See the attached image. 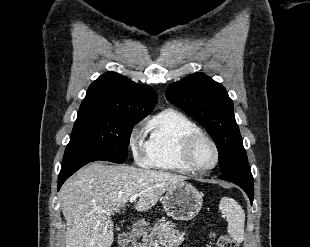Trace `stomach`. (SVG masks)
Instances as JSON below:
<instances>
[{
    "mask_svg": "<svg viewBox=\"0 0 310 247\" xmlns=\"http://www.w3.org/2000/svg\"><path fill=\"white\" fill-rule=\"evenodd\" d=\"M163 207L166 213L174 220H192L201 209L202 194L190 183L181 182L171 189L163 197ZM147 230V223L139 221L136 224V231L144 233Z\"/></svg>",
    "mask_w": 310,
    "mask_h": 247,
    "instance_id": "1",
    "label": "stomach"
}]
</instances>
